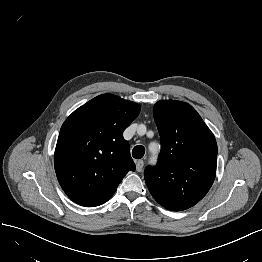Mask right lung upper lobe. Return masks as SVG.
Returning <instances> with one entry per match:
<instances>
[{"label":"right lung upper lobe","mask_w":262,"mask_h":262,"mask_svg":"<svg viewBox=\"0 0 262 262\" xmlns=\"http://www.w3.org/2000/svg\"><path fill=\"white\" fill-rule=\"evenodd\" d=\"M140 105L116 95H99L63 123L54 167L68 197L87 207L106 202L123 177L135 170L123 131L138 116Z\"/></svg>","instance_id":"1"}]
</instances>
